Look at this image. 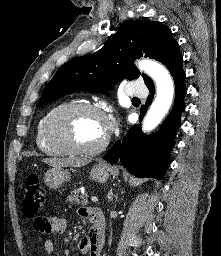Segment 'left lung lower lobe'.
Masks as SVG:
<instances>
[{
	"label": "left lung lower lobe",
	"mask_w": 221,
	"mask_h": 256,
	"mask_svg": "<svg viewBox=\"0 0 221 256\" xmlns=\"http://www.w3.org/2000/svg\"><path fill=\"white\" fill-rule=\"evenodd\" d=\"M172 76L176 90L175 104L161 128L155 134L147 136L141 132L140 125L132 126L122 142H117L112 147V151L104 156L105 160L120 161L136 177L162 179L175 143V132L180 126V114L184 111V96L187 93L183 69ZM148 89L154 93V84L149 85ZM152 99L153 94H150L146 106L150 105ZM146 106L141 107L140 117L145 115Z\"/></svg>",
	"instance_id": "1"
}]
</instances>
